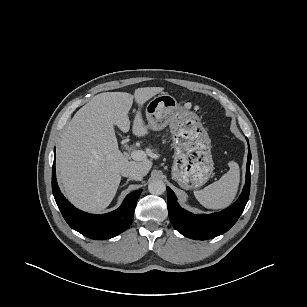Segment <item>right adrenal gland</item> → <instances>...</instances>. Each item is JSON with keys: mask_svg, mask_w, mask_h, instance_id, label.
<instances>
[{"mask_svg": "<svg viewBox=\"0 0 307 307\" xmlns=\"http://www.w3.org/2000/svg\"><path fill=\"white\" fill-rule=\"evenodd\" d=\"M131 180H132L131 178H128L127 181H126V183H125L124 185H122V186L127 185V184L129 183V181H131Z\"/></svg>", "mask_w": 307, "mask_h": 307, "instance_id": "right-adrenal-gland-1", "label": "right adrenal gland"}]
</instances>
